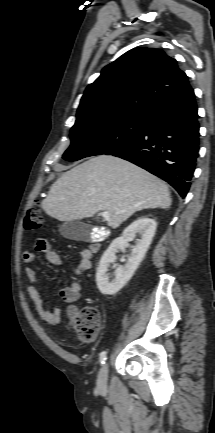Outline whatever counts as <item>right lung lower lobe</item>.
<instances>
[{
    "label": "right lung lower lobe",
    "instance_id": "1",
    "mask_svg": "<svg viewBox=\"0 0 215 433\" xmlns=\"http://www.w3.org/2000/svg\"><path fill=\"white\" fill-rule=\"evenodd\" d=\"M199 151V122L190 85L143 114L138 135L107 155L130 161L173 186L185 197Z\"/></svg>",
    "mask_w": 215,
    "mask_h": 433
}]
</instances>
